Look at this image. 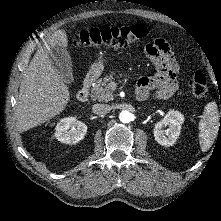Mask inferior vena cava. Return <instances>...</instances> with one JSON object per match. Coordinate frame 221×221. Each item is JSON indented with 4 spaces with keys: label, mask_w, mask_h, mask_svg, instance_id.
Here are the masks:
<instances>
[{
    "label": "inferior vena cava",
    "mask_w": 221,
    "mask_h": 221,
    "mask_svg": "<svg viewBox=\"0 0 221 221\" xmlns=\"http://www.w3.org/2000/svg\"><path fill=\"white\" fill-rule=\"evenodd\" d=\"M111 110L110 106L107 104H94L92 107V111L98 115H105L109 113Z\"/></svg>",
    "instance_id": "obj_1"
}]
</instances>
